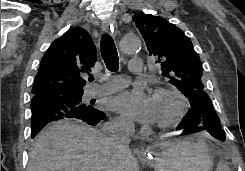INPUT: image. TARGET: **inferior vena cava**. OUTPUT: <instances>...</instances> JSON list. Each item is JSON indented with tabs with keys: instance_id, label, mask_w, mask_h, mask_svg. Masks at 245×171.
<instances>
[{
	"instance_id": "1",
	"label": "inferior vena cava",
	"mask_w": 245,
	"mask_h": 171,
	"mask_svg": "<svg viewBox=\"0 0 245 171\" xmlns=\"http://www.w3.org/2000/svg\"><path fill=\"white\" fill-rule=\"evenodd\" d=\"M103 132L108 134V141L120 153H125L129 150L128 146L131 141V136L134 132V125L130 122L120 121L103 126ZM104 171H116L111 166H106Z\"/></svg>"
}]
</instances>
